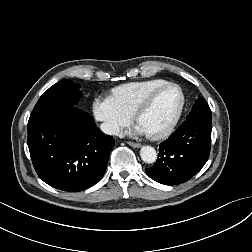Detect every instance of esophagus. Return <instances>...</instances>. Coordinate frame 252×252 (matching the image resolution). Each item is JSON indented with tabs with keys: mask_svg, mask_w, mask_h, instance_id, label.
Here are the masks:
<instances>
[{
	"mask_svg": "<svg viewBox=\"0 0 252 252\" xmlns=\"http://www.w3.org/2000/svg\"><path fill=\"white\" fill-rule=\"evenodd\" d=\"M128 144L134 148H140L141 144L140 143H136V142H131L129 141Z\"/></svg>",
	"mask_w": 252,
	"mask_h": 252,
	"instance_id": "1",
	"label": "esophagus"
}]
</instances>
